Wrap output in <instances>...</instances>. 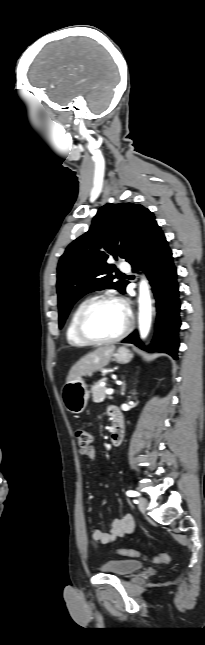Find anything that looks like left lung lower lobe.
<instances>
[{"instance_id":"obj_1","label":"left lung lower lobe","mask_w":205,"mask_h":645,"mask_svg":"<svg viewBox=\"0 0 205 645\" xmlns=\"http://www.w3.org/2000/svg\"><path fill=\"white\" fill-rule=\"evenodd\" d=\"M129 263L133 270H143L146 273L156 299L158 313L155 336L149 350L165 352L177 359L178 331L181 325L177 270L168 242L156 222L147 230ZM123 342L146 349L138 334L132 333Z\"/></svg>"}]
</instances>
